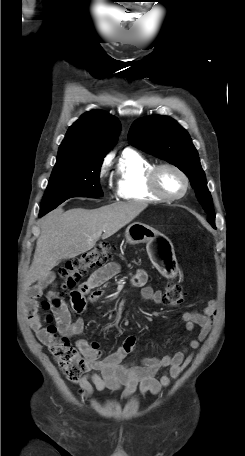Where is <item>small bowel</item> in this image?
I'll use <instances>...</instances> for the list:
<instances>
[{"label": "small bowel", "mask_w": 245, "mask_h": 456, "mask_svg": "<svg viewBox=\"0 0 245 456\" xmlns=\"http://www.w3.org/2000/svg\"><path fill=\"white\" fill-rule=\"evenodd\" d=\"M119 271L120 266L117 262H109L105 266L95 269L88 279L71 293V304L74 310L78 313L83 312L86 296H89L92 302L98 301L103 296V292L96 289L117 275ZM147 280V272L140 269L132 276L131 283L133 286L141 287L140 296L142 300L151 301L155 304L161 303L163 293L147 285ZM48 281V278L43 279L30 289L25 307L28 324L45 345H49L52 335L42 326L37 300ZM51 303L56 315L59 333L67 337L82 334L83 319L77 318L75 321H71L66 303L55 293L51 295ZM216 313L217 303L215 300H210L203 312L192 311L182 314L181 319L188 331L192 332L197 327L200 328L198 338L189 341V348L198 349L200 343L207 338ZM136 343V336L130 335L115 352L102 357V351L97 342L78 339L76 346L93 370L91 374L79 381L81 393L89 397L95 391L102 393L105 390H112L122 391L125 396L130 397L138 390L141 395L147 393L157 395L163 388L170 385L171 379L180 375L193 358V354H187L188 347H183L174 354L163 357L144 358L139 363L135 361L125 362L127 356L134 351ZM161 369H164V372L160 378H157L156 375Z\"/></svg>", "instance_id": "small-bowel-1"}]
</instances>
